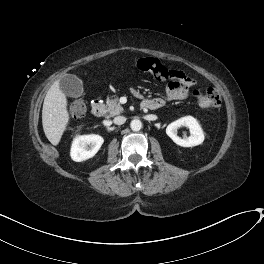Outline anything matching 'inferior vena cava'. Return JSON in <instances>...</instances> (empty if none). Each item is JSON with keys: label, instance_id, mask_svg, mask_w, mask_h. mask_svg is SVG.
<instances>
[{"label": "inferior vena cava", "instance_id": "1", "mask_svg": "<svg viewBox=\"0 0 264 264\" xmlns=\"http://www.w3.org/2000/svg\"><path fill=\"white\" fill-rule=\"evenodd\" d=\"M113 121H114V123H115L116 125H122V124L125 123L126 118H125L124 116H117V117L114 118Z\"/></svg>", "mask_w": 264, "mask_h": 264}]
</instances>
